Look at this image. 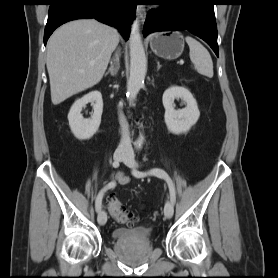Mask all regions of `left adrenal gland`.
I'll list each match as a JSON object with an SVG mask.
<instances>
[{"mask_svg":"<svg viewBox=\"0 0 278 278\" xmlns=\"http://www.w3.org/2000/svg\"><path fill=\"white\" fill-rule=\"evenodd\" d=\"M161 68V65L159 62H157V70H159Z\"/></svg>","mask_w":278,"mask_h":278,"instance_id":"a2214340","label":"left adrenal gland"}]
</instances>
